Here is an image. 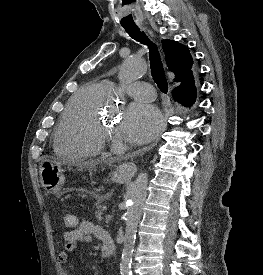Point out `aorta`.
I'll use <instances>...</instances> for the list:
<instances>
[{
  "label": "aorta",
  "mask_w": 263,
  "mask_h": 275,
  "mask_svg": "<svg viewBox=\"0 0 263 275\" xmlns=\"http://www.w3.org/2000/svg\"><path fill=\"white\" fill-rule=\"evenodd\" d=\"M146 67L144 62L137 57L124 60L119 71V80L122 84L137 80L144 75ZM148 174L141 172L134 181L125 214L126 229L121 254V275H130L132 256L136 241L137 226L147 196Z\"/></svg>",
  "instance_id": "aorta-1"
}]
</instances>
